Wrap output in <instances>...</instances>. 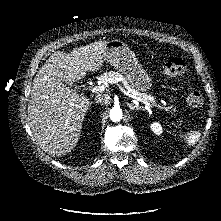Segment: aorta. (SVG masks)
I'll use <instances>...</instances> for the list:
<instances>
[{
    "label": "aorta",
    "instance_id": "obj_1",
    "mask_svg": "<svg viewBox=\"0 0 221 221\" xmlns=\"http://www.w3.org/2000/svg\"><path fill=\"white\" fill-rule=\"evenodd\" d=\"M109 116L113 122H118L122 119L123 113L119 107H113L110 109Z\"/></svg>",
    "mask_w": 221,
    "mask_h": 221
}]
</instances>
